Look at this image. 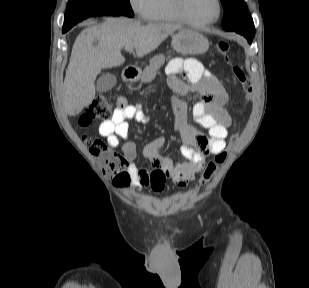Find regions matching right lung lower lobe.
I'll list each match as a JSON object with an SVG mask.
<instances>
[{"mask_svg":"<svg viewBox=\"0 0 309 288\" xmlns=\"http://www.w3.org/2000/svg\"><path fill=\"white\" fill-rule=\"evenodd\" d=\"M94 15H122V14H119V13H97V14H94ZM92 15V16H94ZM66 31H68L67 29H63L62 32L65 33Z\"/></svg>","mask_w":309,"mask_h":288,"instance_id":"1","label":"right lung lower lobe"}]
</instances>
